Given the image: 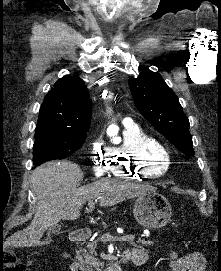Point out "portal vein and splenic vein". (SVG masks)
Returning a JSON list of instances; mask_svg holds the SVG:
<instances>
[{
	"instance_id": "obj_1",
	"label": "portal vein and splenic vein",
	"mask_w": 221,
	"mask_h": 271,
	"mask_svg": "<svg viewBox=\"0 0 221 271\" xmlns=\"http://www.w3.org/2000/svg\"><path fill=\"white\" fill-rule=\"evenodd\" d=\"M105 237L102 239L104 242H134L136 239H135V235H131V234H121V237H114L113 234H105L104 235Z\"/></svg>"
}]
</instances>
